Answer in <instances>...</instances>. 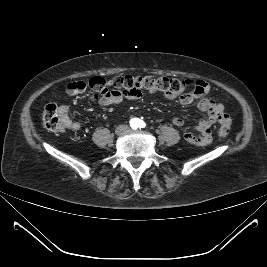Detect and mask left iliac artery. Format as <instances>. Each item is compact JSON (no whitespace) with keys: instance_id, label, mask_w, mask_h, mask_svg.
<instances>
[{"instance_id":"1","label":"left iliac artery","mask_w":267,"mask_h":267,"mask_svg":"<svg viewBox=\"0 0 267 267\" xmlns=\"http://www.w3.org/2000/svg\"><path fill=\"white\" fill-rule=\"evenodd\" d=\"M136 124H137V127H141V128H144L146 126V124L142 120H139V119H137Z\"/></svg>"}]
</instances>
